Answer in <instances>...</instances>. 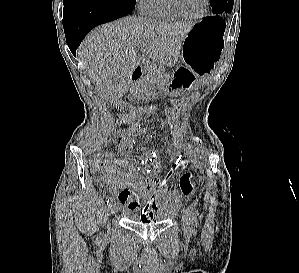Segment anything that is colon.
Here are the masks:
<instances>
[{
	"instance_id": "1",
	"label": "colon",
	"mask_w": 299,
	"mask_h": 273,
	"mask_svg": "<svg viewBox=\"0 0 299 273\" xmlns=\"http://www.w3.org/2000/svg\"><path fill=\"white\" fill-rule=\"evenodd\" d=\"M124 141V137L118 139L117 144L121 147ZM147 142H162L159 138L151 139L146 137ZM93 172L98 180H105L108 175L107 164L96 158L92 162ZM179 189L184 195H193L195 193V184L193 181V175L191 173H185L179 180Z\"/></svg>"
}]
</instances>
